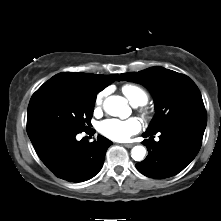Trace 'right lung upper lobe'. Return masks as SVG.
<instances>
[{"mask_svg": "<svg viewBox=\"0 0 221 221\" xmlns=\"http://www.w3.org/2000/svg\"><path fill=\"white\" fill-rule=\"evenodd\" d=\"M117 76L118 74L98 75L91 73L68 72L59 73L53 76L50 80L70 82L89 92L98 93L111 84L117 78Z\"/></svg>", "mask_w": 221, "mask_h": 221, "instance_id": "obj_1", "label": "right lung upper lobe"}]
</instances>
